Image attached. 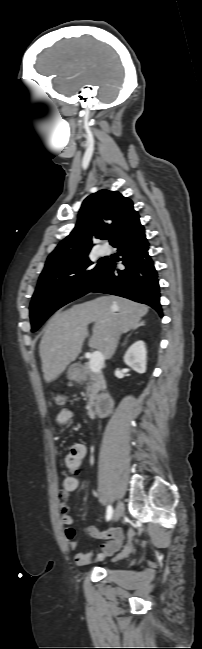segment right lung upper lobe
<instances>
[{"instance_id":"cb5924a9","label":"right lung upper lobe","mask_w":202,"mask_h":649,"mask_svg":"<svg viewBox=\"0 0 202 649\" xmlns=\"http://www.w3.org/2000/svg\"><path fill=\"white\" fill-rule=\"evenodd\" d=\"M144 229L133 202L118 191L100 190L82 203L73 231L48 256L40 278L71 270L89 253L94 239L110 238L111 245Z\"/></svg>"}]
</instances>
